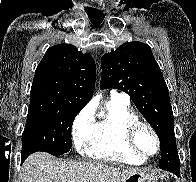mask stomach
<instances>
[{"instance_id":"stomach-1","label":"stomach","mask_w":196,"mask_h":182,"mask_svg":"<svg viewBox=\"0 0 196 182\" xmlns=\"http://www.w3.org/2000/svg\"><path fill=\"white\" fill-rule=\"evenodd\" d=\"M159 180L160 176L156 175L155 173L138 171L137 173L128 177L125 182H159Z\"/></svg>"}]
</instances>
